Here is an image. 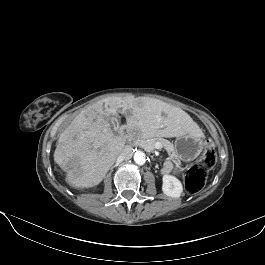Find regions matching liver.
<instances>
[{"mask_svg":"<svg viewBox=\"0 0 265 265\" xmlns=\"http://www.w3.org/2000/svg\"><path fill=\"white\" fill-rule=\"evenodd\" d=\"M125 115L127 125L149 136H203L199 126L182 109L155 98L108 97L83 109L61 133L54 161L66 172L74 188L98 185L121 154L125 140L114 135L108 118Z\"/></svg>","mask_w":265,"mask_h":265,"instance_id":"obj_1","label":"liver"}]
</instances>
